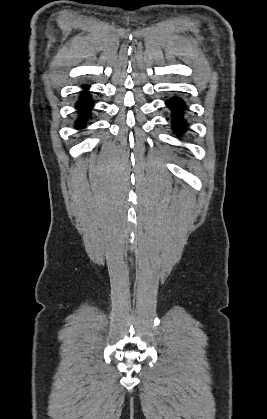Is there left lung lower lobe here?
I'll list each match as a JSON object with an SVG mask.
<instances>
[{"instance_id":"0a47b994","label":"left lung lower lobe","mask_w":267,"mask_h":419,"mask_svg":"<svg viewBox=\"0 0 267 419\" xmlns=\"http://www.w3.org/2000/svg\"><path fill=\"white\" fill-rule=\"evenodd\" d=\"M166 105L171 109V123L175 133L182 135L187 130V120L184 116L186 104L180 97L168 99ZM168 119V118H167Z\"/></svg>"}]
</instances>
